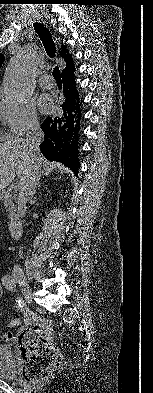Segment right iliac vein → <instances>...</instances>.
Returning a JSON list of instances; mask_svg holds the SVG:
<instances>
[{
  "instance_id": "63e3f726",
  "label": "right iliac vein",
  "mask_w": 153,
  "mask_h": 393,
  "mask_svg": "<svg viewBox=\"0 0 153 393\" xmlns=\"http://www.w3.org/2000/svg\"><path fill=\"white\" fill-rule=\"evenodd\" d=\"M14 278H15L16 282L20 285L22 292L25 295L26 299L28 301H31L32 292H31V288L27 282L26 277L23 274L16 273L14 275Z\"/></svg>"
}]
</instances>
